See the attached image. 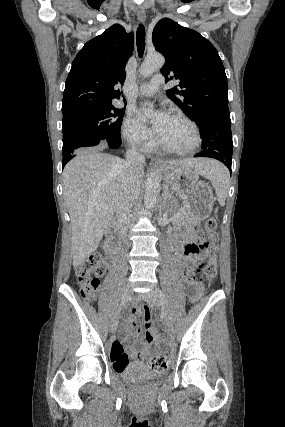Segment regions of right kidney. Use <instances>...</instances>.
<instances>
[{
  "mask_svg": "<svg viewBox=\"0 0 285 427\" xmlns=\"http://www.w3.org/2000/svg\"><path fill=\"white\" fill-rule=\"evenodd\" d=\"M104 249L106 248V243H105V245H104V247H103Z\"/></svg>",
  "mask_w": 285,
  "mask_h": 427,
  "instance_id": "1",
  "label": "right kidney"
}]
</instances>
